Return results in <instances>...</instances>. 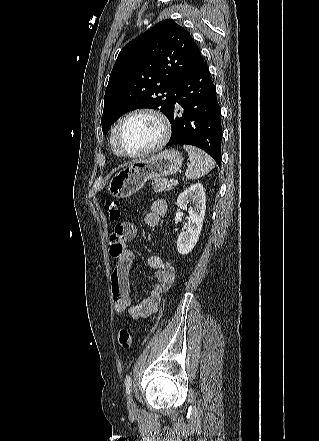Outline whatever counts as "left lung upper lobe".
<instances>
[{"instance_id":"5c2ea615","label":"left lung upper lobe","mask_w":319,"mask_h":441,"mask_svg":"<svg viewBox=\"0 0 319 441\" xmlns=\"http://www.w3.org/2000/svg\"><path fill=\"white\" fill-rule=\"evenodd\" d=\"M200 57L190 33L170 19L129 42L105 91L103 134L121 115L138 108L160 109L169 118L178 84Z\"/></svg>"}]
</instances>
